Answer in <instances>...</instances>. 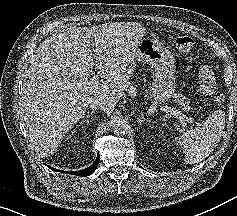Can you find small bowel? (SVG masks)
<instances>
[{"label":"small bowel","instance_id":"obj_1","mask_svg":"<svg viewBox=\"0 0 237 216\" xmlns=\"http://www.w3.org/2000/svg\"><path fill=\"white\" fill-rule=\"evenodd\" d=\"M201 73H202L203 79L204 78L208 79L206 82L202 84V92L205 94H209L212 91V84L210 81V77H211L210 70L207 67H205L202 69Z\"/></svg>","mask_w":237,"mask_h":216}]
</instances>
